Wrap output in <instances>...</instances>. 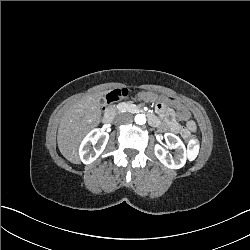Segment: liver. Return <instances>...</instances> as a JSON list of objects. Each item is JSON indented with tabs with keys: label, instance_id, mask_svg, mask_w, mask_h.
I'll use <instances>...</instances> for the list:
<instances>
[{
	"label": "liver",
	"instance_id": "obj_1",
	"mask_svg": "<svg viewBox=\"0 0 250 250\" xmlns=\"http://www.w3.org/2000/svg\"><path fill=\"white\" fill-rule=\"evenodd\" d=\"M105 93H99L96 98L92 95L80 98L61 119L57 136L58 147L68 161L79 163L78 145L85 133L98 124L101 115L99 98Z\"/></svg>",
	"mask_w": 250,
	"mask_h": 250
}]
</instances>
